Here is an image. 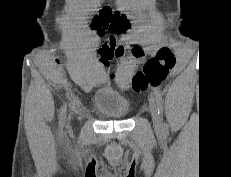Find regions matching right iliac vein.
Returning a JSON list of instances; mask_svg holds the SVG:
<instances>
[{"mask_svg": "<svg viewBox=\"0 0 231 177\" xmlns=\"http://www.w3.org/2000/svg\"><path fill=\"white\" fill-rule=\"evenodd\" d=\"M70 119H71V116L69 115V119L68 120L70 121ZM68 127H70V125H68Z\"/></svg>", "mask_w": 231, "mask_h": 177, "instance_id": "right-iliac-vein-1", "label": "right iliac vein"}]
</instances>
